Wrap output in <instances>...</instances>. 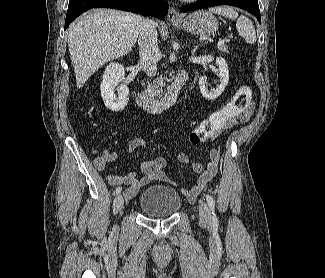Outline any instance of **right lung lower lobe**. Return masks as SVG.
<instances>
[{
  "mask_svg": "<svg viewBox=\"0 0 325 278\" xmlns=\"http://www.w3.org/2000/svg\"><path fill=\"white\" fill-rule=\"evenodd\" d=\"M114 8L162 19L168 12L164 0H69L65 29L80 14L91 8Z\"/></svg>",
  "mask_w": 325,
  "mask_h": 278,
  "instance_id": "right-lung-lower-lobe-1",
  "label": "right lung lower lobe"
}]
</instances>
